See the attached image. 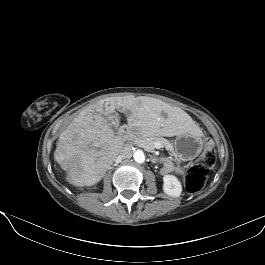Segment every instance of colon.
I'll return each mask as SVG.
<instances>
[{"label": "colon", "mask_w": 265, "mask_h": 265, "mask_svg": "<svg viewBox=\"0 0 265 265\" xmlns=\"http://www.w3.org/2000/svg\"><path fill=\"white\" fill-rule=\"evenodd\" d=\"M215 162L216 156L213 143L207 140L201 160L190 166L185 174V187L189 193L196 194L203 189L209 171L215 165Z\"/></svg>", "instance_id": "obj_1"}]
</instances>
